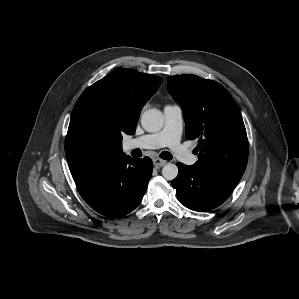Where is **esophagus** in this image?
<instances>
[{"label": "esophagus", "mask_w": 299, "mask_h": 299, "mask_svg": "<svg viewBox=\"0 0 299 299\" xmlns=\"http://www.w3.org/2000/svg\"><path fill=\"white\" fill-rule=\"evenodd\" d=\"M153 164L156 166V167H162L166 164V161L165 160H162L160 158H154L153 159Z\"/></svg>", "instance_id": "1"}]
</instances>
